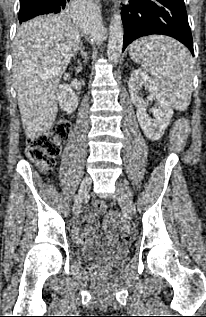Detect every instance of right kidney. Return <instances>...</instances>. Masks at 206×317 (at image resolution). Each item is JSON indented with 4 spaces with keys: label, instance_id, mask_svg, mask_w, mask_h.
Here are the masks:
<instances>
[{
    "label": "right kidney",
    "instance_id": "right-kidney-1",
    "mask_svg": "<svg viewBox=\"0 0 206 317\" xmlns=\"http://www.w3.org/2000/svg\"><path fill=\"white\" fill-rule=\"evenodd\" d=\"M81 68L77 69L79 72ZM69 78V74H65L64 80ZM57 98L60 108L67 114H72L78 105V97L69 85H60L57 90Z\"/></svg>",
    "mask_w": 206,
    "mask_h": 317
}]
</instances>
